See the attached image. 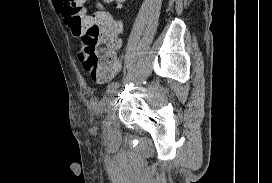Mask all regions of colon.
<instances>
[{"label":"colon","mask_w":272,"mask_h":183,"mask_svg":"<svg viewBox=\"0 0 272 183\" xmlns=\"http://www.w3.org/2000/svg\"><path fill=\"white\" fill-rule=\"evenodd\" d=\"M84 0H61L64 20L74 36L80 38L79 55L84 68L95 78L107 79L118 65L120 24L102 10H85ZM120 5L124 0H103Z\"/></svg>","instance_id":"obj_1"}]
</instances>
